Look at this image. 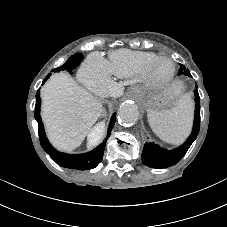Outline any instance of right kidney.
Returning a JSON list of instances; mask_svg holds the SVG:
<instances>
[{
	"label": "right kidney",
	"instance_id": "ca27d5eb",
	"mask_svg": "<svg viewBox=\"0 0 227 227\" xmlns=\"http://www.w3.org/2000/svg\"><path fill=\"white\" fill-rule=\"evenodd\" d=\"M103 127L100 125L95 126L91 132L88 135V144L89 146H92L96 143L98 138L100 137L102 133Z\"/></svg>",
	"mask_w": 227,
	"mask_h": 227
}]
</instances>
